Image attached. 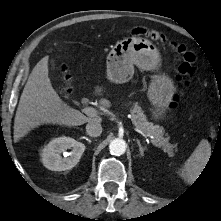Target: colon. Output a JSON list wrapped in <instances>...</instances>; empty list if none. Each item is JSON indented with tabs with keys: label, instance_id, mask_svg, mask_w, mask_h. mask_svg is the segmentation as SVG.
<instances>
[{
	"label": "colon",
	"instance_id": "colon-1",
	"mask_svg": "<svg viewBox=\"0 0 221 221\" xmlns=\"http://www.w3.org/2000/svg\"><path fill=\"white\" fill-rule=\"evenodd\" d=\"M132 35L136 37H148L154 41L164 43L165 37L154 30H148L145 28H135L132 30ZM170 47L173 51L181 55L182 63L178 68V74L176 76L175 90L176 94L171 99L169 107L175 109L179 100V94L187 86L189 78H191L196 72V55L189 51L183 44L170 43Z\"/></svg>",
	"mask_w": 221,
	"mask_h": 221
}]
</instances>
